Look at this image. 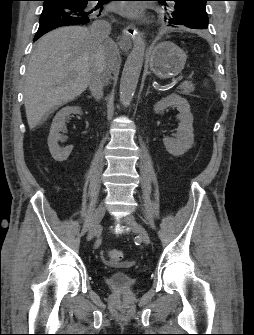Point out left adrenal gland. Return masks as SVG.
I'll list each match as a JSON object with an SVG mask.
<instances>
[{
  "label": "left adrenal gland",
  "mask_w": 254,
  "mask_h": 335,
  "mask_svg": "<svg viewBox=\"0 0 254 335\" xmlns=\"http://www.w3.org/2000/svg\"><path fill=\"white\" fill-rule=\"evenodd\" d=\"M149 93H150V86H148V88H147L146 96H148Z\"/></svg>",
  "instance_id": "left-adrenal-gland-1"
}]
</instances>
